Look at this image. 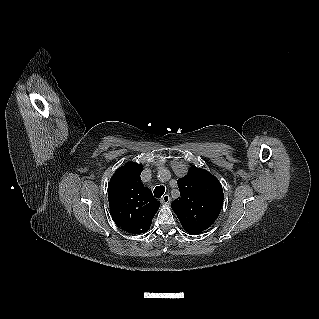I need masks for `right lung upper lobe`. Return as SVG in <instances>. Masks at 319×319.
<instances>
[{
  "label": "right lung upper lobe",
  "instance_id": "1",
  "mask_svg": "<svg viewBox=\"0 0 319 319\" xmlns=\"http://www.w3.org/2000/svg\"><path fill=\"white\" fill-rule=\"evenodd\" d=\"M142 169L141 164L127 163L115 171L108 186L114 222L122 230L135 235L149 230L160 205L151 190L143 186Z\"/></svg>",
  "mask_w": 319,
  "mask_h": 319
}]
</instances>
